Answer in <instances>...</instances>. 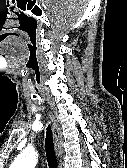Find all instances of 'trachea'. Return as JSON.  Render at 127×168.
<instances>
[{"label": "trachea", "mask_w": 127, "mask_h": 168, "mask_svg": "<svg viewBox=\"0 0 127 168\" xmlns=\"http://www.w3.org/2000/svg\"><path fill=\"white\" fill-rule=\"evenodd\" d=\"M45 150L49 168H57V158L50 125H48L46 131Z\"/></svg>", "instance_id": "obj_1"}]
</instances>
